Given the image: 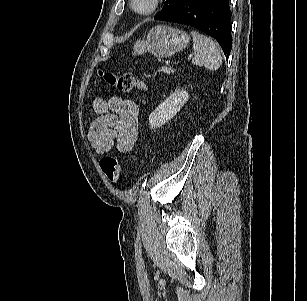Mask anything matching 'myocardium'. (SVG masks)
I'll list each match as a JSON object with an SVG mask.
<instances>
[{"mask_svg": "<svg viewBox=\"0 0 307 301\" xmlns=\"http://www.w3.org/2000/svg\"><path fill=\"white\" fill-rule=\"evenodd\" d=\"M136 1L137 0H130V7H131V9L134 13H136L137 15H140V16H149V15L155 13L161 5V0H151V4H150L149 8H147L145 10H139L135 6Z\"/></svg>", "mask_w": 307, "mask_h": 301, "instance_id": "1", "label": "myocardium"}]
</instances>
